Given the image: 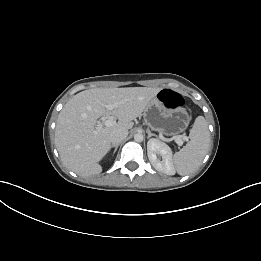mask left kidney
Instances as JSON below:
<instances>
[{"instance_id":"obj_1","label":"left kidney","mask_w":261,"mask_h":261,"mask_svg":"<svg viewBox=\"0 0 261 261\" xmlns=\"http://www.w3.org/2000/svg\"><path fill=\"white\" fill-rule=\"evenodd\" d=\"M148 158L153 167L167 175L174 174V167L172 163V151L168 145L158 139H150L147 143ZM158 155L162 157L160 161Z\"/></svg>"}]
</instances>
